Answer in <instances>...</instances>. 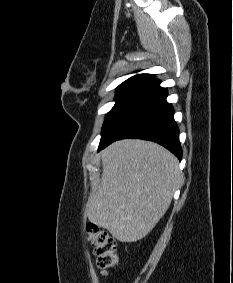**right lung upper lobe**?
Returning a JSON list of instances; mask_svg holds the SVG:
<instances>
[{
	"label": "right lung upper lobe",
	"mask_w": 233,
	"mask_h": 283,
	"mask_svg": "<svg viewBox=\"0 0 233 283\" xmlns=\"http://www.w3.org/2000/svg\"><path fill=\"white\" fill-rule=\"evenodd\" d=\"M156 80L157 79H155V77L151 74H137V75L127 79L123 83L143 81V82H150L152 84Z\"/></svg>",
	"instance_id": "1"
}]
</instances>
